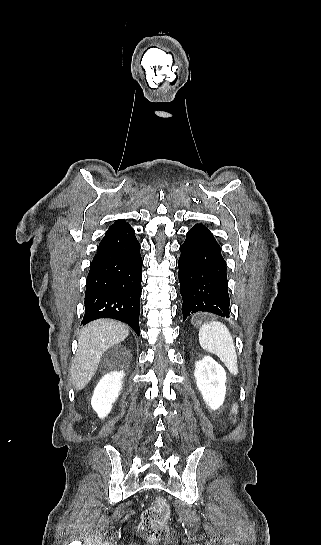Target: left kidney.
Returning <instances> with one entry per match:
<instances>
[{"instance_id": "1", "label": "left kidney", "mask_w": 321, "mask_h": 545, "mask_svg": "<svg viewBox=\"0 0 321 545\" xmlns=\"http://www.w3.org/2000/svg\"><path fill=\"white\" fill-rule=\"evenodd\" d=\"M194 377L198 391L210 409H219L226 395V373L212 357H204L195 363Z\"/></svg>"}]
</instances>
